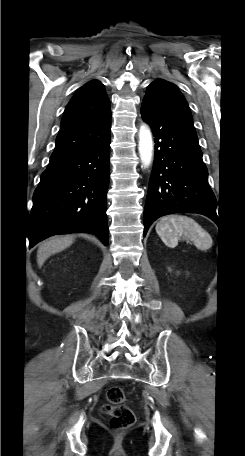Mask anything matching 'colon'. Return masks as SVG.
<instances>
[{
	"label": "colon",
	"instance_id": "obj_1",
	"mask_svg": "<svg viewBox=\"0 0 245 456\" xmlns=\"http://www.w3.org/2000/svg\"><path fill=\"white\" fill-rule=\"evenodd\" d=\"M106 397L107 403L103 406V410L111 418V427L115 430H123L131 427L136 421V416L124 404V391L120 387H111L107 390Z\"/></svg>",
	"mask_w": 245,
	"mask_h": 456
}]
</instances>
